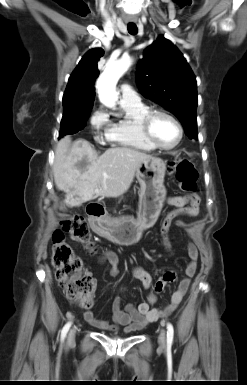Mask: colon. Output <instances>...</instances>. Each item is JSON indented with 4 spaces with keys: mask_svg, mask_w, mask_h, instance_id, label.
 Instances as JSON below:
<instances>
[{
    "mask_svg": "<svg viewBox=\"0 0 247 385\" xmlns=\"http://www.w3.org/2000/svg\"><path fill=\"white\" fill-rule=\"evenodd\" d=\"M167 170L169 174L174 175L183 191L190 193L196 191L198 172L190 160L177 158L168 164ZM181 214L182 211L175 210L166 216L162 224L164 235L172 221ZM65 234L93 249L90 231L83 217L72 215L61 221L60 227L52 236V265L55 269L56 279L63 287L65 295L81 307L90 308L93 304L94 280L83 269L82 262L73 248L65 242Z\"/></svg>",
    "mask_w": 247,
    "mask_h": 385,
    "instance_id": "colon-1",
    "label": "colon"
}]
</instances>
